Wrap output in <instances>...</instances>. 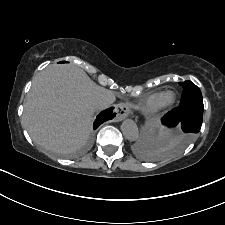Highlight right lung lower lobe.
Returning a JSON list of instances; mask_svg holds the SVG:
<instances>
[{
    "mask_svg": "<svg viewBox=\"0 0 225 225\" xmlns=\"http://www.w3.org/2000/svg\"><path fill=\"white\" fill-rule=\"evenodd\" d=\"M114 115L115 114H113V108H109L108 110L101 112L94 122V129L98 128V126L104 121L111 119Z\"/></svg>",
    "mask_w": 225,
    "mask_h": 225,
    "instance_id": "right-lung-lower-lobe-1",
    "label": "right lung lower lobe"
}]
</instances>
